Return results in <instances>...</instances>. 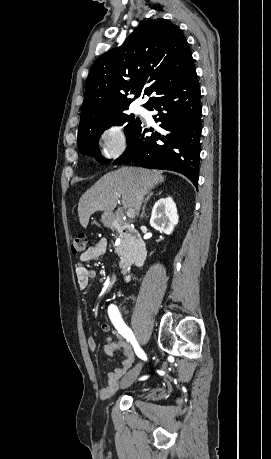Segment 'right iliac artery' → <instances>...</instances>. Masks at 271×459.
<instances>
[{"label":"right iliac artery","mask_w":271,"mask_h":459,"mask_svg":"<svg viewBox=\"0 0 271 459\" xmlns=\"http://www.w3.org/2000/svg\"><path fill=\"white\" fill-rule=\"evenodd\" d=\"M108 314L109 317L115 326V328L118 330V333H120L128 342L130 341L131 344L134 347L135 353L137 356L143 360H147L146 354L144 351L140 348L138 345V342L135 339V336L132 332V330L124 323L117 306L111 304L108 308ZM144 376V375H143ZM140 376L139 380L141 382H149L150 379L153 377L152 373H148L145 377Z\"/></svg>","instance_id":"1"}]
</instances>
